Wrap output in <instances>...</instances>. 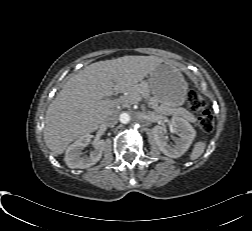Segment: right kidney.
<instances>
[{
  "instance_id": "1",
  "label": "right kidney",
  "mask_w": 252,
  "mask_h": 231,
  "mask_svg": "<svg viewBox=\"0 0 252 231\" xmlns=\"http://www.w3.org/2000/svg\"><path fill=\"white\" fill-rule=\"evenodd\" d=\"M90 138L89 134L84 135L66 149L64 161L68 167L85 169L100 160L106 145L104 140H99L94 143V150L90 152L89 156H81V151L89 144Z\"/></svg>"
}]
</instances>
